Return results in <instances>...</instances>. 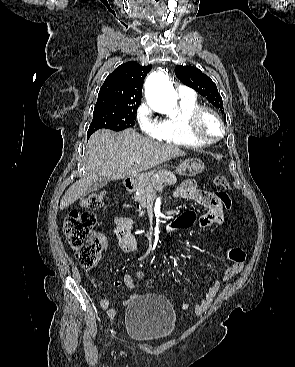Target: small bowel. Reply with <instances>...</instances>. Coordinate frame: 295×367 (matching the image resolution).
Instances as JSON below:
<instances>
[{
  "label": "small bowel",
  "mask_w": 295,
  "mask_h": 367,
  "mask_svg": "<svg viewBox=\"0 0 295 367\" xmlns=\"http://www.w3.org/2000/svg\"><path fill=\"white\" fill-rule=\"evenodd\" d=\"M175 195L179 198L192 199L199 205L206 209V212L199 217L198 224L202 228L209 227L213 224H221L223 222L224 216L222 211L221 200L218 196H213L212 193L204 191L198 188L194 180H186L182 182L175 191ZM114 236L124 252H133L138 248V240L136 235L130 230L132 226V219L125 215H118L113 220ZM102 239V244L106 247L107 242L105 238ZM244 264H232L226 271L224 281L230 280L233 276L241 272ZM135 277L139 281H143L145 274L142 271H137ZM116 286L125 285L128 289L133 291V294L126 299L123 304L127 306L130 304L137 296L136 286L134 278L130 274H125L120 281L114 283ZM94 285L98 286L97 280H94ZM221 288L220 282H214L208 288L204 298L194 306L193 312L195 315H202L210 307L215 296ZM100 307L106 311L110 318H115L117 310L111 306L110 301L107 298H103L100 301ZM189 308V304L185 303L182 305L181 310L185 311Z\"/></svg>",
  "instance_id": "c3829d8e"
}]
</instances>
